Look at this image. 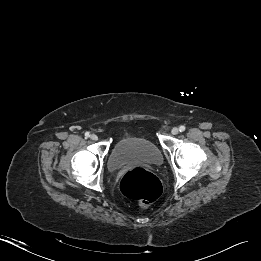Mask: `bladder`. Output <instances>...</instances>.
Returning <instances> with one entry per match:
<instances>
[{"label": "bladder", "mask_w": 261, "mask_h": 261, "mask_svg": "<svg viewBox=\"0 0 261 261\" xmlns=\"http://www.w3.org/2000/svg\"><path fill=\"white\" fill-rule=\"evenodd\" d=\"M163 157L160 149L152 141L133 136L120 138L112 147L108 156V167L111 171L128 164H147L158 166Z\"/></svg>", "instance_id": "31cf9c89"}]
</instances>
